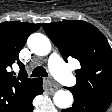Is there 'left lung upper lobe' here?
<instances>
[{
    "label": "left lung upper lobe",
    "mask_w": 112,
    "mask_h": 112,
    "mask_svg": "<svg viewBox=\"0 0 112 112\" xmlns=\"http://www.w3.org/2000/svg\"><path fill=\"white\" fill-rule=\"evenodd\" d=\"M44 31L65 61L76 58L77 83L67 89L74 96L112 102V49L105 36L85 21L44 23Z\"/></svg>",
    "instance_id": "left-lung-upper-lobe-1"
}]
</instances>
